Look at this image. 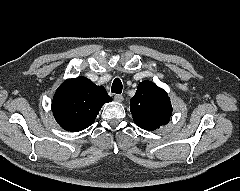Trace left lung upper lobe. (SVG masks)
Listing matches in <instances>:
<instances>
[{"label":"left lung upper lobe","mask_w":240,"mask_h":191,"mask_svg":"<svg viewBox=\"0 0 240 191\" xmlns=\"http://www.w3.org/2000/svg\"><path fill=\"white\" fill-rule=\"evenodd\" d=\"M130 109L134 122L150 131L167 124L172 114L171 101L165 90L148 80L139 83L130 100Z\"/></svg>","instance_id":"obj_1"}]
</instances>
